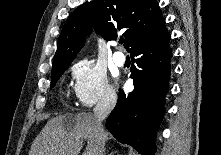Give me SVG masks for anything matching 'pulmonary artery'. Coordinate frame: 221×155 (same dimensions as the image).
<instances>
[{
  "label": "pulmonary artery",
  "mask_w": 221,
  "mask_h": 155,
  "mask_svg": "<svg viewBox=\"0 0 221 155\" xmlns=\"http://www.w3.org/2000/svg\"><path fill=\"white\" fill-rule=\"evenodd\" d=\"M113 61L117 66H123L126 61L125 55L121 51H116L113 54Z\"/></svg>",
  "instance_id": "1"
}]
</instances>
